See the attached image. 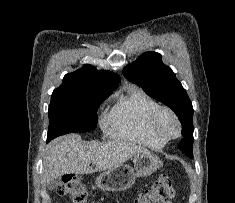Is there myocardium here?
<instances>
[{"mask_svg": "<svg viewBox=\"0 0 235 203\" xmlns=\"http://www.w3.org/2000/svg\"><path fill=\"white\" fill-rule=\"evenodd\" d=\"M169 115L176 124V132L173 134H168L160 130L158 123L160 118L164 115ZM148 130L155 137L168 142L170 140L176 139L181 135L182 125L178 115L169 107L159 106L156 108L149 116L148 120Z\"/></svg>", "mask_w": 235, "mask_h": 203, "instance_id": "1", "label": "myocardium"}]
</instances>
